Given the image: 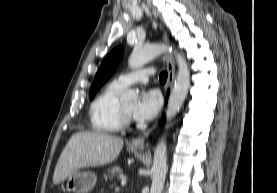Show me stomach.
I'll return each mask as SVG.
<instances>
[{"instance_id":"1","label":"stomach","mask_w":277,"mask_h":193,"mask_svg":"<svg viewBox=\"0 0 277 193\" xmlns=\"http://www.w3.org/2000/svg\"><path fill=\"white\" fill-rule=\"evenodd\" d=\"M96 180L93 172H76L67 177L66 189L70 193H88L94 188Z\"/></svg>"}]
</instances>
